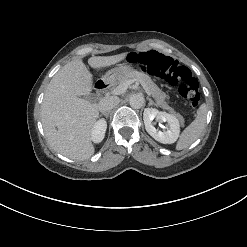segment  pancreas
I'll return each mask as SVG.
<instances>
[{
	"instance_id": "1",
	"label": "pancreas",
	"mask_w": 247,
	"mask_h": 247,
	"mask_svg": "<svg viewBox=\"0 0 247 247\" xmlns=\"http://www.w3.org/2000/svg\"><path fill=\"white\" fill-rule=\"evenodd\" d=\"M128 80L139 81L141 84H144L151 96L155 99L157 106L161 107L164 110L169 111L172 115L176 116L178 120L183 124L184 118L179 113H176L173 108H171L166 102L165 99L167 95L151 80V78L144 73L128 72L126 73L118 82V85H122Z\"/></svg>"
}]
</instances>
